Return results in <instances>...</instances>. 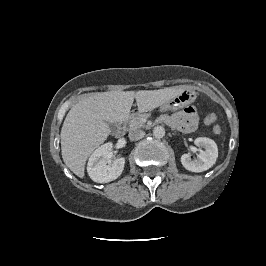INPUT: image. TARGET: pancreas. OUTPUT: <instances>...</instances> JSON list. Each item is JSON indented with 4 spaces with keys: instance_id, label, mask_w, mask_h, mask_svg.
<instances>
[{
    "instance_id": "cf45deb5",
    "label": "pancreas",
    "mask_w": 266,
    "mask_h": 266,
    "mask_svg": "<svg viewBox=\"0 0 266 266\" xmlns=\"http://www.w3.org/2000/svg\"><path fill=\"white\" fill-rule=\"evenodd\" d=\"M146 115L144 114H138L136 116H133L131 120L129 121V129L134 130L137 128H144L145 123L142 119H144Z\"/></svg>"
}]
</instances>
